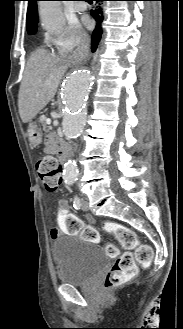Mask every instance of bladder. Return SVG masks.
I'll list each match as a JSON object with an SVG mask.
<instances>
[{
	"instance_id": "obj_1",
	"label": "bladder",
	"mask_w": 183,
	"mask_h": 329,
	"mask_svg": "<svg viewBox=\"0 0 183 329\" xmlns=\"http://www.w3.org/2000/svg\"><path fill=\"white\" fill-rule=\"evenodd\" d=\"M57 263V277L61 283L85 286L109 267V257L90 240L74 234L60 235L52 244Z\"/></svg>"
}]
</instances>
